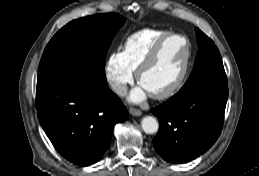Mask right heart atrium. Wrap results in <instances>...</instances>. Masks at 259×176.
<instances>
[{
    "label": "right heart atrium",
    "instance_id": "d8ad5b80",
    "mask_svg": "<svg viewBox=\"0 0 259 176\" xmlns=\"http://www.w3.org/2000/svg\"><path fill=\"white\" fill-rule=\"evenodd\" d=\"M105 78L112 90L122 95L133 81V71L126 65L122 52H111L104 66Z\"/></svg>",
    "mask_w": 259,
    "mask_h": 176
}]
</instances>
